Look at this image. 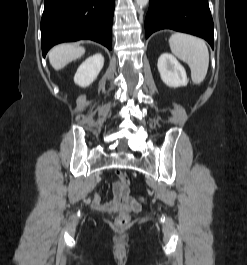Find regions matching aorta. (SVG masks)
I'll return each instance as SVG.
<instances>
[{"mask_svg":"<svg viewBox=\"0 0 247 265\" xmlns=\"http://www.w3.org/2000/svg\"><path fill=\"white\" fill-rule=\"evenodd\" d=\"M135 1H136V4L140 7H145L149 2V0H135Z\"/></svg>","mask_w":247,"mask_h":265,"instance_id":"1","label":"aorta"}]
</instances>
